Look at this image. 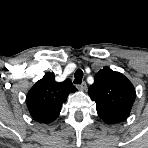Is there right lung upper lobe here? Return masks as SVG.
<instances>
[{
    "label": "right lung upper lobe",
    "mask_w": 148,
    "mask_h": 148,
    "mask_svg": "<svg viewBox=\"0 0 148 148\" xmlns=\"http://www.w3.org/2000/svg\"><path fill=\"white\" fill-rule=\"evenodd\" d=\"M76 90L71 80L66 79L58 83L55 81L54 74L46 73L27 94L28 110L34 120L50 123L59 116L61 106L68 95Z\"/></svg>",
    "instance_id": "1"
}]
</instances>
